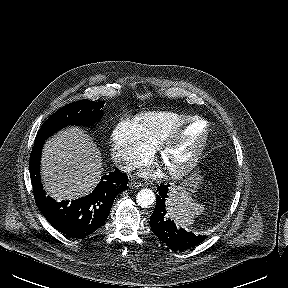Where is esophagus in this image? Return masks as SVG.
<instances>
[{"instance_id": "34e87169", "label": "esophagus", "mask_w": 288, "mask_h": 288, "mask_svg": "<svg viewBox=\"0 0 288 288\" xmlns=\"http://www.w3.org/2000/svg\"><path fill=\"white\" fill-rule=\"evenodd\" d=\"M129 186H130V187L137 188V187L141 186V183L138 182V181H135V180H130Z\"/></svg>"}]
</instances>
